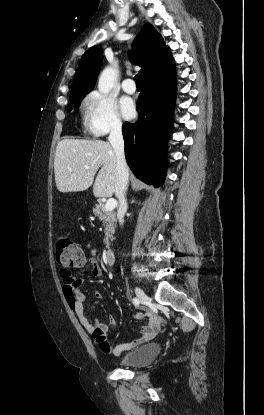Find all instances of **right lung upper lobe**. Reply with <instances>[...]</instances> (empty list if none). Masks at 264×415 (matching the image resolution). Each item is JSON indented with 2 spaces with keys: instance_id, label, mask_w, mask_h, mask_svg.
<instances>
[{
  "instance_id": "obj_1",
  "label": "right lung upper lobe",
  "mask_w": 264,
  "mask_h": 415,
  "mask_svg": "<svg viewBox=\"0 0 264 415\" xmlns=\"http://www.w3.org/2000/svg\"><path fill=\"white\" fill-rule=\"evenodd\" d=\"M102 50L99 45L91 47L82 56L76 71L70 97L85 95L95 84L102 64ZM132 60L141 67L142 82L157 79L175 71L170 48L165 46L162 36L147 23L135 39Z\"/></svg>"
}]
</instances>
